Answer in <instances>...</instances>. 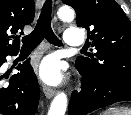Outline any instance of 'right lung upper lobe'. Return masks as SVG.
I'll return each mask as SVG.
<instances>
[{"instance_id":"1","label":"right lung upper lobe","mask_w":131,"mask_h":115,"mask_svg":"<svg viewBox=\"0 0 131 115\" xmlns=\"http://www.w3.org/2000/svg\"><path fill=\"white\" fill-rule=\"evenodd\" d=\"M34 16V0H0V57L18 53L20 42L14 34L23 35Z\"/></svg>"}]
</instances>
